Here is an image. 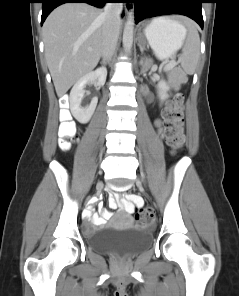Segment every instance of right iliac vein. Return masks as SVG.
I'll return each mask as SVG.
<instances>
[{
    "label": "right iliac vein",
    "mask_w": 239,
    "mask_h": 296,
    "mask_svg": "<svg viewBox=\"0 0 239 296\" xmlns=\"http://www.w3.org/2000/svg\"><path fill=\"white\" fill-rule=\"evenodd\" d=\"M101 187H102V183L99 182V183L97 184V188L99 189V188H101Z\"/></svg>",
    "instance_id": "right-iliac-vein-1"
}]
</instances>
